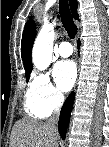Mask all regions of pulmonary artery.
Instances as JSON below:
<instances>
[{
  "mask_svg": "<svg viewBox=\"0 0 109 147\" xmlns=\"http://www.w3.org/2000/svg\"><path fill=\"white\" fill-rule=\"evenodd\" d=\"M58 54L61 56V57H69L72 55L73 53V47L71 45V43L65 41V42H62L59 46H58Z\"/></svg>",
  "mask_w": 109,
  "mask_h": 147,
  "instance_id": "pulmonary-artery-1",
  "label": "pulmonary artery"
}]
</instances>
